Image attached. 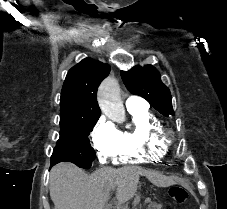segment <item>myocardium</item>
Here are the masks:
<instances>
[{
	"mask_svg": "<svg viewBox=\"0 0 227 209\" xmlns=\"http://www.w3.org/2000/svg\"><path fill=\"white\" fill-rule=\"evenodd\" d=\"M157 142L167 148L178 147L183 143L181 134L172 127L161 123L153 133Z\"/></svg>",
	"mask_w": 227,
	"mask_h": 209,
	"instance_id": "f54148a6",
	"label": "myocardium"
}]
</instances>
